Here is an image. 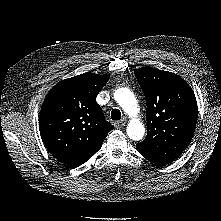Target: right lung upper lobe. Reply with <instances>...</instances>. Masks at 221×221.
I'll return each instance as SVG.
<instances>
[{
	"instance_id": "right-lung-upper-lobe-1",
	"label": "right lung upper lobe",
	"mask_w": 221,
	"mask_h": 221,
	"mask_svg": "<svg viewBox=\"0 0 221 221\" xmlns=\"http://www.w3.org/2000/svg\"><path fill=\"white\" fill-rule=\"evenodd\" d=\"M109 77L86 72L59 82L47 94L40 111V134L61 163L74 167L85 163L114 128L95 100Z\"/></svg>"
}]
</instances>
